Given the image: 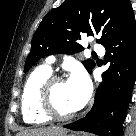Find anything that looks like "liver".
Wrapping results in <instances>:
<instances>
[{
    "label": "liver",
    "mask_w": 136,
    "mask_h": 136,
    "mask_svg": "<svg viewBox=\"0 0 136 136\" xmlns=\"http://www.w3.org/2000/svg\"><path fill=\"white\" fill-rule=\"evenodd\" d=\"M67 133V130L61 127H48L40 129H29L18 133L16 136H54L59 133Z\"/></svg>",
    "instance_id": "liver-1"
}]
</instances>
